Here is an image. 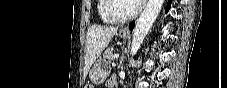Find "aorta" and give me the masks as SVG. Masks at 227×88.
<instances>
[{
  "label": "aorta",
  "instance_id": "aorta-1",
  "mask_svg": "<svg viewBox=\"0 0 227 88\" xmlns=\"http://www.w3.org/2000/svg\"><path fill=\"white\" fill-rule=\"evenodd\" d=\"M164 0H148L146 8L138 19L131 44V55H135L139 50L145 36L156 20Z\"/></svg>",
  "mask_w": 227,
  "mask_h": 88
}]
</instances>
